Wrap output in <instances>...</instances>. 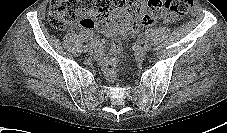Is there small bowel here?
<instances>
[{
    "mask_svg": "<svg viewBox=\"0 0 227 133\" xmlns=\"http://www.w3.org/2000/svg\"><path fill=\"white\" fill-rule=\"evenodd\" d=\"M130 0H125L124 4L120 5L114 10L110 17L104 20L98 21L96 27L102 31L105 35L113 37L116 35L125 36L132 31L133 16L129 8ZM138 3L144 5L143 0H137ZM175 18L169 15L164 16L163 21L165 23L174 22ZM82 38L89 42L93 47L98 48V43L93 39V33L91 29H83L81 31ZM97 58L102 59V51L98 49Z\"/></svg>",
    "mask_w": 227,
    "mask_h": 133,
    "instance_id": "obj_1",
    "label": "small bowel"
}]
</instances>
